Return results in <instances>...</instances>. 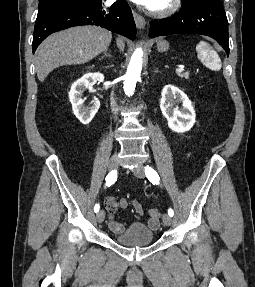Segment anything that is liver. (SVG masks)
<instances>
[{
	"label": "liver",
	"instance_id": "1",
	"mask_svg": "<svg viewBox=\"0 0 255 287\" xmlns=\"http://www.w3.org/2000/svg\"><path fill=\"white\" fill-rule=\"evenodd\" d=\"M112 34L97 26H77L52 34L36 50L35 68L39 82L48 74L66 64H86L110 46ZM123 52L125 44L121 38L116 42Z\"/></svg>",
	"mask_w": 255,
	"mask_h": 287
}]
</instances>
